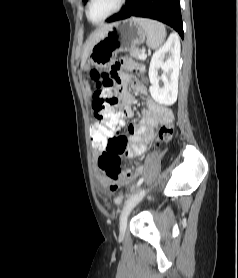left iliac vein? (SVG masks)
Segmentation results:
<instances>
[{
  "label": "left iliac vein",
  "instance_id": "obj_1",
  "mask_svg": "<svg viewBox=\"0 0 238 278\" xmlns=\"http://www.w3.org/2000/svg\"><path fill=\"white\" fill-rule=\"evenodd\" d=\"M148 191H150V185H145V188L143 191L138 190L134 196L129 200L121 224H120V237L123 238L126 231L127 226V217L130 213V211L137 205V203L140 201L141 197H145L148 194Z\"/></svg>",
  "mask_w": 238,
  "mask_h": 278
}]
</instances>
